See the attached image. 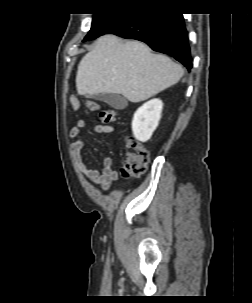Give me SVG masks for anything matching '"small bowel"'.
<instances>
[{
    "instance_id": "c3829d8e",
    "label": "small bowel",
    "mask_w": 252,
    "mask_h": 303,
    "mask_svg": "<svg viewBox=\"0 0 252 303\" xmlns=\"http://www.w3.org/2000/svg\"><path fill=\"white\" fill-rule=\"evenodd\" d=\"M87 120L80 119L70 130L71 154L78 166L79 170L95 185L99 186L102 190L110 188L112 183L118 179V172L113 169V159L111 157H105L103 159V166L101 172L96 169L90 168L83 160L82 150L85 143L79 138L80 131L86 126ZM94 131L97 133H112L114 127L111 125H96Z\"/></svg>"
}]
</instances>
